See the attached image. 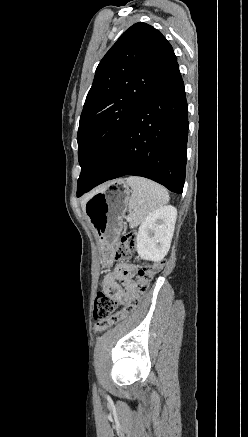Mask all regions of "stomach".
<instances>
[{
    "label": "stomach",
    "mask_w": 248,
    "mask_h": 437,
    "mask_svg": "<svg viewBox=\"0 0 248 437\" xmlns=\"http://www.w3.org/2000/svg\"><path fill=\"white\" fill-rule=\"evenodd\" d=\"M122 181L96 191L84 204V212L97 237L103 259H110L128 210L130 193L121 189Z\"/></svg>",
    "instance_id": "stomach-1"
}]
</instances>
